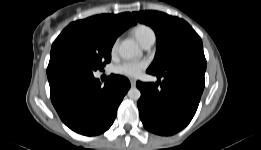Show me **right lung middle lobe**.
I'll use <instances>...</instances> for the list:
<instances>
[{
    "label": "right lung middle lobe",
    "mask_w": 261,
    "mask_h": 150,
    "mask_svg": "<svg viewBox=\"0 0 261 150\" xmlns=\"http://www.w3.org/2000/svg\"><path fill=\"white\" fill-rule=\"evenodd\" d=\"M115 40L92 27L65 28L52 44L47 68L48 79L93 75V71L110 62Z\"/></svg>",
    "instance_id": "dd1d6c3e"
}]
</instances>
